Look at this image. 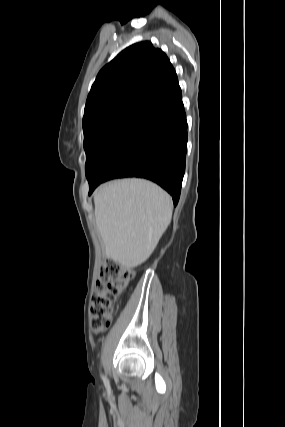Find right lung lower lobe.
<instances>
[{"mask_svg": "<svg viewBox=\"0 0 285 427\" xmlns=\"http://www.w3.org/2000/svg\"><path fill=\"white\" fill-rule=\"evenodd\" d=\"M187 152V121L179 84L150 102L89 180V194L113 178L141 177L164 188L177 205Z\"/></svg>", "mask_w": 285, "mask_h": 427, "instance_id": "1", "label": "right lung lower lobe"}]
</instances>
